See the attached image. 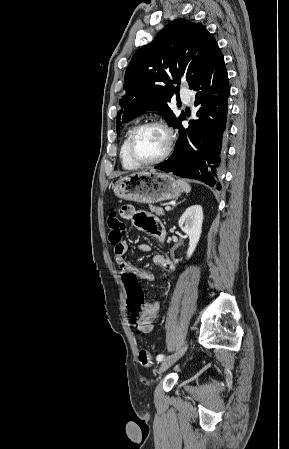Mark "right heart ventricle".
<instances>
[{"label":"right heart ventricle","mask_w":289,"mask_h":449,"mask_svg":"<svg viewBox=\"0 0 289 449\" xmlns=\"http://www.w3.org/2000/svg\"><path fill=\"white\" fill-rule=\"evenodd\" d=\"M133 129L134 128H130L127 131L125 138L122 142L121 148H120V158H121L122 165L125 169H128V170L137 169L139 167V165H137L136 163H134L132 161V159L130 158V155H129V148H128L129 138H130V135H131Z\"/></svg>","instance_id":"obj_1"}]
</instances>
